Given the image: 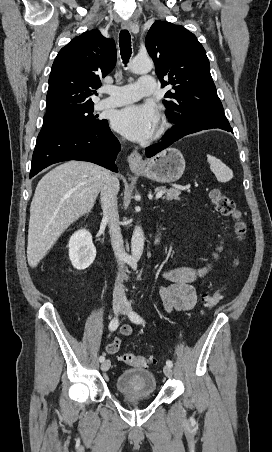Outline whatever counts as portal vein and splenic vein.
Returning <instances> with one entry per match:
<instances>
[{
    "label": "portal vein and splenic vein",
    "instance_id": "obj_1",
    "mask_svg": "<svg viewBox=\"0 0 272 452\" xmlns=\"http://www.w3.org/2000/svg\"><path fill=\"white\" fill-rule=\"evenodd\" d=\"M165 193V191H159V192H157V194H156V199H159V198H161L162 196H163V194Z\"/></svg>",
    "mask_w": 272,
    "mask_h": 452
}]
</instances>
